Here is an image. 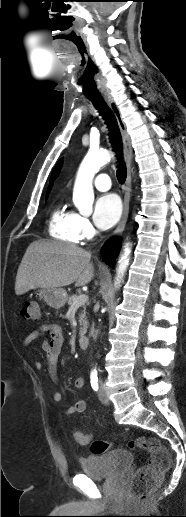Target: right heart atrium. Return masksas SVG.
<instances>
[{
	"label": "right heart atrium",
	"mask_w": 186,
	"mask_h": 517,
	"mask_svg": "<svg viewBox=\"0 0 186 517\" xmlns=\"http://www.w3.org/2000/svg\"><path fill=\"white\" fill-rule=\"evenodd\" d=\"M74 223L80 240H89L95 236L96 230L86 216L79 213H74Z\"/></svg>",
	"instance_id": "1"
}]
</instances>
